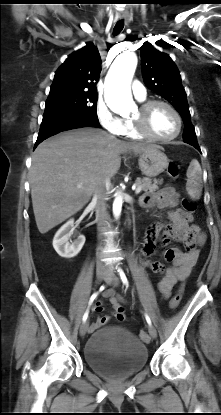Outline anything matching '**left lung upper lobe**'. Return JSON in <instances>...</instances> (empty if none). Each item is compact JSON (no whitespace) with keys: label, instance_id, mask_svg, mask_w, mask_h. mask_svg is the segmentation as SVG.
<instances>
[{"label":"left lung upper lobe","instance_id":"5c2ea615","mask_svg":"<svg viewBox=\"0 0 221 415\" xmlns=\"http://www.w3.org/2000/svg\"><path fill=\"white\" fill-rule=\"evenodd\" d=\"M140 54L145 85L165 98L179 112L184 122L183 139L196 138L187 96L173 60L169 55L156 50L149 42L140 47Z\"/></svg>","mask_w":221,"mask_h":415}]
</instances>
